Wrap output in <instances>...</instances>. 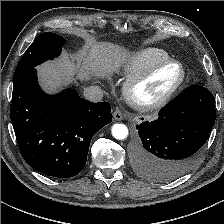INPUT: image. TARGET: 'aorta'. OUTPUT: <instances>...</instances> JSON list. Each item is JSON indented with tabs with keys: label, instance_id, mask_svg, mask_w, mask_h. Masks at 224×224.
Instances as JSON below:
<instances>
[{
	"label": "aorta",
	"instance_id": "aorta-1",
	"mask_svg": "<svg viewBox=\"0 0 224 224\" xmlns=\"http://www.w3.org/2000/svg\"><path fill=\"white\" fill-rule=\"evenodd\" d=\"M112 135L115 139L123 140L128 136V128L124 124H114L112 126Z\"/></svg>",
	"mask_w": 224,
	"mask_h": 224
}]
</instances>
